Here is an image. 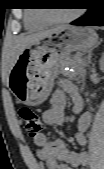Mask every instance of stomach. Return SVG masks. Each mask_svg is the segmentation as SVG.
I'll return each mask as SVG.
<instances>
[{
    "label": "stomach",
    "instance_id": "0dacf381",
    "mask_svg": "<svg viewBox=\"0 0 104 169\" xmlns=\"http://www.w3.org/2000/svg\"><path fill=\"white\" fill-rule=\"evenodd\" d=\"M98 42L91 28H66L46 36L19 55L9 73L8 85L17 101L36 106L50 95L65 58L74 51L93 47Z\"/></svg>",
    "mask_w": 104,
    "mask_h": 169
}]
</instances>
